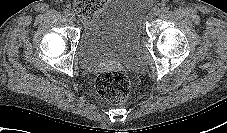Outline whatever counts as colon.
<instances>
[{
    "label": "colon",
    "instance_id": "1",
    "mask_svg": "<svg viewBox=\"0 0 227 133\" xmlns=\"http://www.w3.org/2000/svg\"><path fill=\"white\" fill-rule=\"evenodd\" d=\"M105 3V0H75L74 8L83 18L94 15ZM98 94L106 101L122 103L127 100L131 91L129 78L121 71H101L95 81Z\"/></svg>",
    "mask_w": 227,
    "mask_h": 133
}]
</instances>
